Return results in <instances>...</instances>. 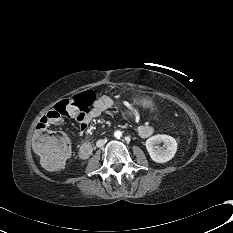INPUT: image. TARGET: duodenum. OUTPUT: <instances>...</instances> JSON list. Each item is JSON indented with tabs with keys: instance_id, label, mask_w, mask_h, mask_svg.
Wrapping results in <instances>:
<instances>
[{
	"instance_id": "duodenum-1",
	"label": "duodenum",
	"mask_w": 233,
	"mask_h": 233,
	"mask_svg": "<svg viewBox=\"0 0 233 233\" xmlns=\"http://www.w3.org/2000/svg\"><path fill=\"white\" fill-rule=\"evenodd\" d=\"M94 149V146L92 143L85 142L81 145L79 149V155L82 159H88Z\"/></svg>"
}]
</instances>
